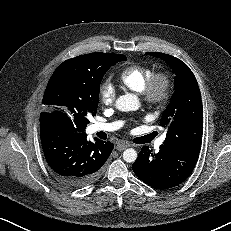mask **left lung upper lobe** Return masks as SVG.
<instances>
[{
    "label": "left lung upper lobe",
    "instance_id": "5c2ea615",
    "mask_svg": "<svg viewBox=\"0 0 231 231\" xmlns=\"http://www.w3.org/2000/svg\"><path fill=\"white\" fill-rule=\"evenodd\" d=\"M146 54L166 61L175 74V92L160 120V125L168 129L163 145L174 150L199 154L202 143L203 108L194 74L176 57L159 52Z\"/></svg>",
    "mask_w": 231,
    "mask_h": 231
}]
</instances>
